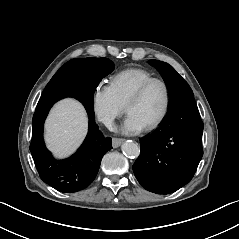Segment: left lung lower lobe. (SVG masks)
<instances>
[{"mask_svg":"<svg viewBox=\"0 0 239 239\" xmlns=\"http://www.w3.org/2000/svg\"><path fill=\"white\" fill-rule=\"evenodd\" d=\"M203 127L194 97L171 105L161 125L140 139L141 153L133 165L139 183L169 194L190 182L203 155Z\"/></svg>","mask_w":239,"mask_h":239,"instance_id":"left-lung-lower-lobe-1","label":"left lung lower lobe"}]
</instances>
